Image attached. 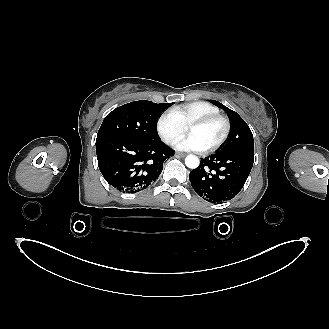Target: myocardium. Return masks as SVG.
<instances>
[{"mask_svg":"<svg viewBox=\"0 0 329 329\" xmlns=\"http://www.w3.org/2000/svg\"><path fill=\"white\" fill-rule=\"evenodd\" d=\"M213 121L222 122V124L224 126V130H223V134L220 137V139L214 145L205 149V152H207V153H212V152L218 150L228 139V137L230 135V131H231V123H230L229 119L218 113V114H210V115H206L203 117H199L197 119H194L193 121H191L188 124V129H189L194 126H202V125L208 124Z\"/></svg>","mask_w":329,"mask_h":329,"instance_id":"f54148a6","label":"myocardium"}]
</instances>
